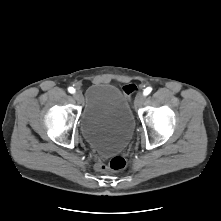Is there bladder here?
Segmentation results:
<instances>
[{
  "instance_id": "bladder-1",
  "label": "bladder",
  "mask_w": 221,
  "mask_h": 221,
  "mask_svg": "<svg viewBox=\"0 0 221 221\" xmlns=\"http://www.w3.org/2000/svg\"><path fill=\"white\" fill-rule=\"evenodd\" d=\"M82 101L79 128L84 140L102 155L122 152L135 129L134 116L123 92L109 83H93Z\"/></svg>"
}]
</instances>
